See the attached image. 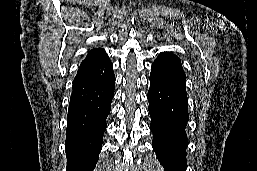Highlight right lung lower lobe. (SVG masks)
<instances>
[{
    "label": "right lung lower lobe",
    "mask_w": 257,
    "mask_h": 171,
    "mask_svg": "<svg viewBox=\"0 0 257 171\" xmlns=\"http://www.w3.org/2000/svg\"><path fill=\"white\" fill-rule=\"evenodd\" d=\"M114 86L113 64L109 58L80 65L68 109L67 171L94 169L102 149Z\"/></svg>",
    "instance_id": "right-lung-lower-lobe-1"
}]
</instances>
